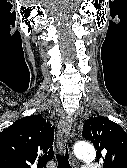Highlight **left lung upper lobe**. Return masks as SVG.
Returning a JSON list of instances; mask_svg holds the SVG:
<instances>
[{
  "mask_svg": "<svg viewBox=\"0 0 127 168\" xmlns=\"http://www.w3.org/2000/svg\"><path fill=\"white\" fill-rule=\"evenodd\" d=\"M82 135L94 144L104 168H127V134L120 125L105 117H90Z\"/></svg>",
  "mask_w": 127,
  "mask_h": 168,
  "instance_id": "1",
  "label": "left lung upper lobe"
}]
</instances>
